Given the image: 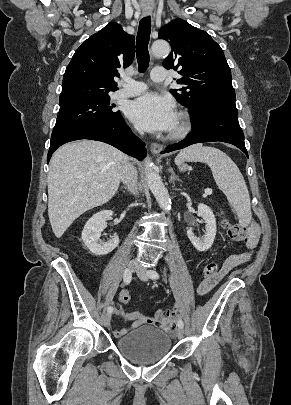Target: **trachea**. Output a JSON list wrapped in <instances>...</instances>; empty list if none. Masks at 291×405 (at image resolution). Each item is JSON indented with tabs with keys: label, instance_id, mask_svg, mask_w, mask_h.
<instances>
[{
	"label": "trachea",
	"instance_id": "3493384b",
	"mask_svg": "<svg viewBox=\"0 0 291 405\" xmlns=\"http://www.w3.org/2000/svg\"><path fill=\"white\" fill-rule=\"evenodd\" d=\"M151 32V17L146 16L140 20L139 29L136 38V56L139 72H145L149 66L150 56L148 52V43Z\"/></svg>",
	"mask_w": 291,
	"mask_h": 405
}]
</instances>
